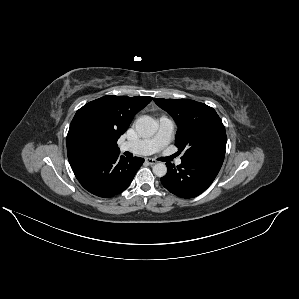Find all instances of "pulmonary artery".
Segmentation results:
<instances>
[{
    "mask_svg": "<svg viewBox=\"0 0 299 299\" xmlns=\"http://www.w3.org/2000/svg\"><path fill=\"white\" fill-rule=\"evenodd\" d=\"M172 131V120L166 116H162L158 119V130L154 137L134 142H124L120 145V149L136 155H149L155 153L170 142ZM181 163L182 160L180 158L176 160L177 165H180Z\"/></svg>",
    "mask_w": 299,
    "mask_h": 299,
    "instance_id": "1",
    "label": "pulmonary artery"
}]
</instances>
